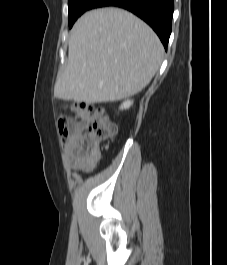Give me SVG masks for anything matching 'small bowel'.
<instances>
[{
  "instance_id": "1",
  "label": "small bowel",
  "mask_w": 227,
  "mask_h": 265,
  "mask_svg": "<svg viewBox=\"0 0 227 265\" xmlns=\"http://www.w3.org/2000/svg\"><path fill=\"white\" fill-rule=\"evenodd\" d=\"M85 129L84 126H76L71 130L67 137L66 150L71 167L80 169L84 173H89L93 170L98 160L99 147L96 145L93 149L84 148L81 139Z\"/></svg>"
}]
</instances>
